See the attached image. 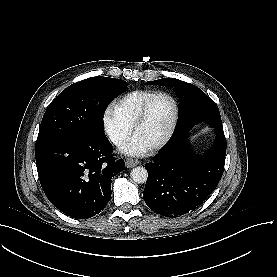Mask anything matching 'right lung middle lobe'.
I'll return each mask as SVG.
<instances>
[{"label":"right lung middle lobe","mask_w":277,"mask_h":277,"mask_svg":"<svg viewBox=\"0 0 277 277\" xmlns=\"http://www.w3.org/2000/svg\"><path fill=\"white\" fill-rule=\"evenodd\" d=\"M124 80L91 77L64 89L49 105L37 141L56 137H92L104 134L107 105L127 89Z\"/></svg>","instance_id":"obj_1"}]
</instances>
